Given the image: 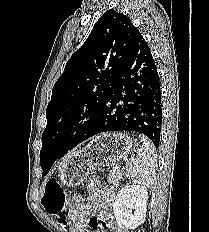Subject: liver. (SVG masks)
Listing matches in <instances>:
<instances>
[{"mask_svg":"<svg viewBox=\"0 0 209 232\" xmlns=\"http://www.w3.org/2000/svg\"><path fill=\"white\" fill-rule=\"evenodd\" d=\"M72 155H73V153H71V154L68 156V158H70Z\"/></svg>","mask_w":209,"mask_h":232,"instance_id":"obj_1","label":"liver"}]
</instances>
